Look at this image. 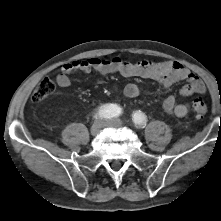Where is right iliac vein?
<instances>
[{"label":"right iliac vein","mask_w":221,"mask_h":221,"mask_svg":"<svg viewBox=\"0 0 221 221\" xmlns=\"http://www.w3.org/2000/svg\"><path fill=\"white\" fill-rule=\"evenodd\" d=\"M106 121L102 119L96 120L90 129V132L93 136H96L100 133L101 129L105 126Z\"/></svg>","instance_id":"63e3f726"}]
</instances>
